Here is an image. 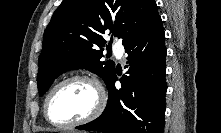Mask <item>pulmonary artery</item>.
<instances>
[{
  "mask_svg": "<svg viewBox=\"0 0 221 133\" xmlns=\"http://www.w3.org/2000/svg\"><path fill=\"white\" fill-rule=\"evenodd\" d=\"M113 51H114L115 55H116L119 59L122 58L123 53H124V48H123V46H122L120 43H115V44L113 45Z\"/></svg>",
  "mask_w": 221,
  "mask_h": 133,
  "instance_id": "e3ab8cb5",
  "label": "pulmonary artery"
}]
</instances>
